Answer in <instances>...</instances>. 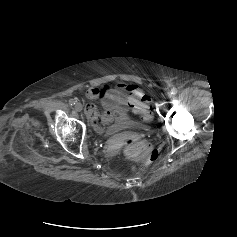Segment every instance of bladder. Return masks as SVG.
Listing matches in <instances>:
<instances>
[{"mask_svg":"<svg viewBox=\"0 0 237 237\" xmlns=\"http://www.w3.org/2000/svg\"><path fill=\"white\" fill-rule=\"evenodd\" d=\"M130 124H131L130 120L127 122H124V123H117L111 128V132H115V131L119 130L120 128L130 126Z\"/></svg>","mask_w":237,"mask_h":237,"instance_id":"obj_1","label":"bladder"}]
</instances>
